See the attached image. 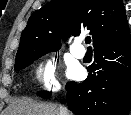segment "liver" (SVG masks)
<instances>
[{
    "instance_id": "6515ba94",
    "label": "liver",
    "mask_w": 131,
    "mask_h": 115,
    "mask_svg": "<svg viewBox=\"0 0 131 115\" xmlns=\"http://www.w3.org/2000/svg\"><path fill=\"white\" fill-rule=\"evenodd\" d=\"M3 113L4 115H60V110L53 104L20 99L12 101Z\"/></svg>"
}]
</instances>
